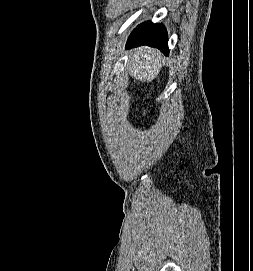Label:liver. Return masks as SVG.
<instances>
[{
	"label": "liver",
	"mask_w": 253,
	"mask_h": 271,
	"mask_svg": "<svg viewBox=\"0 0 253 271\" xmlns=\"http://www.w3.org/2000/svg\"><path fill=\"white\" fill-rule=\"evenodd\" d=\"M129 67V74L136 81L151 82L161 70L162 57L158 50L141 47L131 53Z\"/></svg>",
	"instance_id": "liver-1"
}]
</instances>
